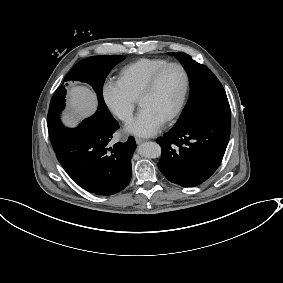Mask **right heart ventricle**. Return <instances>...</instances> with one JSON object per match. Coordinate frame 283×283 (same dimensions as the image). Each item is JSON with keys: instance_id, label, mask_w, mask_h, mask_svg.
Instances as JSON below:
<instances>
[{"instance_id": "e07e8e85", "label": "right heart ventricle", "mask_w": 283, "mask_h": 283, "mask_svg": "<svg viewBox=\"0 0 283 283\" xmlns=\"http://www.w3.org/2000/svg\"><path fill=\"white\" fill-rule=\"evenodd\" d=\"M169 62L163 57L137 59L119 70L118 80L130 97L137 100L151 74Z\"/></svg>"}]
</instances>
